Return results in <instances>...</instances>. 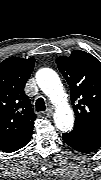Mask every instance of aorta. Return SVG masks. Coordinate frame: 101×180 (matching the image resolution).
Instances as JSON below:
<instances>
[{
  "instance_id": "aorta-1",
  "label": "aorta",
  "mask_w": 101,
  "mask_h": 180,
  "mask_svg": "<svg viewBox=\"0 0 101 180\" xmlns=\"http://www.w3.org/2000/svg\"><path fill=\"white\" fill-rule=\"evenodd\" d=\"M36 79L40 89L56 106L54 121L57 128L63 132L71 130L74 124L73 111L59 76L53 70L45 68L38 71Z\"/></svg>"
}]
</instances>
